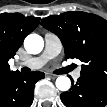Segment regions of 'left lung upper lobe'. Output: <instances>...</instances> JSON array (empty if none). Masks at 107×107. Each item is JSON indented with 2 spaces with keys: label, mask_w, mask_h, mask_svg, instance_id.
I'll use <instances>...</instances> for the list:
<instances>
[{
  "label": "left lung upper lobe",
  "mask_w": 107,
  "mask_h": 107,
  "mask_svg": "<svg viewBox=\"0 0 107 107\" xmlns=\"http://www.w3.org/2000/svg\"><path fill=\"white\" fill-rule=\"evenodd\" d=\"M41 25L62 41L66 58L83 62L81 77L107 83V21L97 15L70 11L42 19Z\"/></svg>",
  "instance_id": "5c2ea615"
}]
</instances>
